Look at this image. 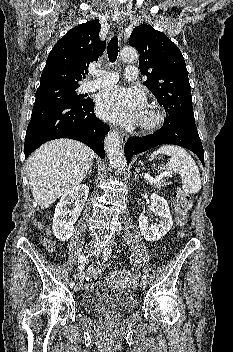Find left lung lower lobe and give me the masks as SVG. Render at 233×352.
Listing matches in <instances>:
<instances>
[{"label": "left lung lower lobe", "mask_w": 233, "mask_h": 352, "mask_svg": "<svg viewBox=\"0 0 233 352\" xmlns=\"http://www.w3.org/2000/svg\"><path fill=\"white\" fill-rule=\"evenodd\" d=\"M175 144L194 152L204 166V150L195 124L170 123L164 125L154 134L143 137H130L124 147L127 164L135 154L147 151L157 145Z\"/></svg>", "instance_id": "0a47b994"}]
</instances>
